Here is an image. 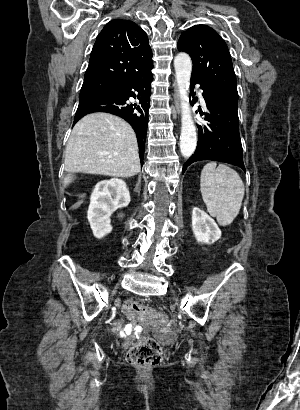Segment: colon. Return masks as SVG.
Returning a JSON list of instances; mask_svg holds the SVG:
<instances>
[{"label": "colon", "instance_id": "5ec220e1", "mask_svg": "<svg viewBox=\"0 0 300 410\" xmlns=\"http://www.w3.org/2000/svg\"><path fill=\"white\" fill-rule=\"evenodd\" d=\"M125 311L138 316L136 325L143 327L150 325L152 328L157 325L163 327L168 322L166 315H161L159 308H149L136 301H127L124 305ZM126 360L136 367H150L158 365L162 360V349L160 344L152 338H144L133 345L127 352Z\"/></svg>", "mask_w": 300, "mask_h": 410}]
</instances>
